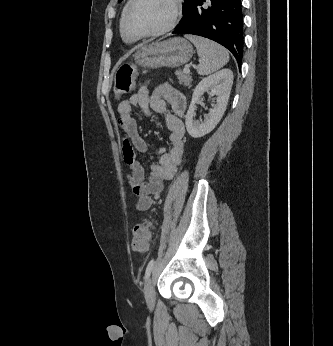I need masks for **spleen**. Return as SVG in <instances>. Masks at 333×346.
Listing matches in <instances>:
<instances>
[{
    "instance_id": "obj_1",
    "label": "spleen",
    "mask_w": 333,
    "mask_h": 346,
    "mask_svg": "<svg viewBox=\"0 0 333 346\" xmlns=\"http://www.w3.org/2000/svg\"><path fill=\"white\" fill-rule=\"evenodd\" d=\"M196 47L200 62L197 68L199 75L211 74L229 61V54L222 46L200 36H186Z\"/></svg>"
}]
</instances>
